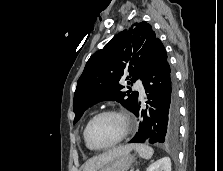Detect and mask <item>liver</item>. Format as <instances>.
I'll return each instance as SVG.
<instances>
[{"label": "liver", "instance_id": "liver-1", "mask_svg": "<svg viewBox=\"0 0 223 171\" xmlns=\"http://www.w3.org/2000/svg\"><path fill=\"white\" fill-rule=\"evenodd\" d=\"M133 148H134V145L132 144H127L124 146H118V147L112 148L108 150L107 152H104L96 157L89 159L84 164L83 171H97L105 164L114 160L117 156H120L123 154H129Z\"/></svg>", "mask_w": 223, "mask_h": 171}]
</instances>
